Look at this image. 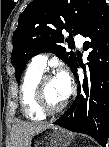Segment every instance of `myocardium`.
Wrapping results in <instances>:
<instances>
[{
    "label": "myocardium",
    "instance_id": "f54148a6",
    "mask_svg": "<svg viewBox=\"0 0 109 147\" xmlns=\"http://www.w3.org/2000/svg\"><path fill=\"white\" fill-rule=\"evenodd\" d=\"M54 76L51 74L42 75L39 79L35 93H34V103L35 106L44 114L54 115L60 113L64 110L67 105V99H65L60 105L56 107H52L49 105L46 95H45V85L50 80L53 79Z\"/></svg>",
    "mask_w": 109,
    "mask_h": 147
}]
</instances>
